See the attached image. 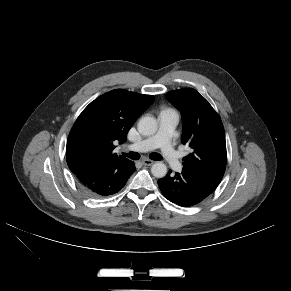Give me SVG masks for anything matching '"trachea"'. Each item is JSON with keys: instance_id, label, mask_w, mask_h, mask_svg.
Instances as JSON below:
<instances>
[{"instance_id": "trachea-1", "label": "trachea", "mask_w": 291, "mask_h": 291, "mask_svg": "<svg viewBox=\"0 0 291 291\" xmlns=\"http://www.w3.org/2000/svg\"><path fill=\"white\" fill-rule=\"evenodd\" d=\"M124 156L132 159V160H138L140 158V154L137 153V152H129V153H124L123 154ZM150 158L152 160H161L162 159V156L158 153H151L150 154Z\"/></svg>"}]
</instances>
